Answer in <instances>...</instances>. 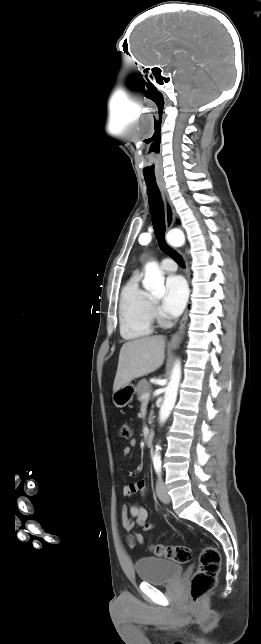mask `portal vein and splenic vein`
I'll use <instances>...</instances> for the list:
<instances>
[{
    "label": "portal vein and splenic vein",
    "mask_w": 261,
    "mask_h": 644,
    "mask_svg": "<svg viewBox=\"0 0 261 644\" xmlns=\"http://www.w3.org/2000/svg\"><path fill=\"white\" fill-rule=\"evenodd\" d=\"M149 397H150V393H149V392L144 393V394H143V396H142V398H143L144 400H148V399H149Z\"/></svg>",
    "instance_id": "portal-vein-and-splenic-vein-1"
}]
</instances>
